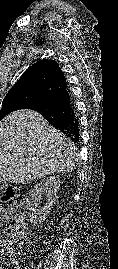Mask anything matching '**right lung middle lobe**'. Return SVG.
Here are the masks:
<instances>
[{"instance_id": "dd1d6c3e", "label": "right lung middle lobe", "mask_w": 118, "mask_h": 269, "mask_svg": "<svg viewBox=\"0 0 118 269\" xmlns=\"http://www.w3.org/2000/svg\"><path fill=\"white\" fill-rule=\"evenodd\" d=\"M25 96L22 94H11L6 95L3 103L2 108L0 110V120L4 118L7 114L25 108Z\"/></svg>"}]
</instances>
